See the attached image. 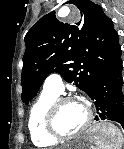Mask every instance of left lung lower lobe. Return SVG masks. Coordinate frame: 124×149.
<instances>
[{"instance_id":"1","label":"left lung lower lobe","mask_w":124,"mask_h":149,"mask_svg":"<svg viewBox=\"0 0 124 149\" xmlns=\"http://www.w3.org/2000/svg\"><path fill=\"white\" fill-rule=\"evenodd\" d=\"M122 60L104 71L86 92L96 108L95 120H111L124 128Z\"/></svg>"}]
</instances>
